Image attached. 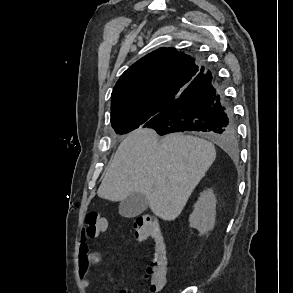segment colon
I'll return each mask as SVG.
<instances>
[{"mask_svg":"<svg viewBox=\"0 0 293 293\" xmlns=\"http://www.w3.org/2000/svg\"><path fill=\"white\" fill-rule=\"evenodd\" d=\"M84 224L86 234L92 238L97 237L108 228L106 219L95 211L86 213ZM133 231L138 241L151 240L153 242L146 277L150 283L151 292L159 293L166 284L169 262L167 246L158 218L153 214L136 217L133 221Z\"/></svg>","mask_w":293,"mask_h":293,"instance_id":"1","label":"colon"}]
</instances>
